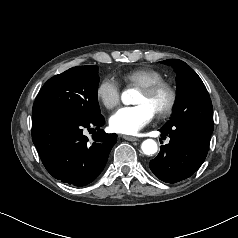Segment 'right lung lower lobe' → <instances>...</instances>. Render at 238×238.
<instances>
[{
	"mask_svg": "<svg viewBox=\"0 0 238 238\" xmlns=\"http://www.w3.org/2000/svg\"><path fill=\"white\" fill-rule=\"evenodd\" d=\"M103 116L83 120L68 115H32V140L47 171L56 179L74 186H85L103 170L117 141L100 127ZM96 128L93 143L84 130Z\"/></svg>",
	"mask_w": 238,
	"mask_h": 238,
	"instance_id": "1",
	"label": "right lung lower lobe"
}]
</instances>
